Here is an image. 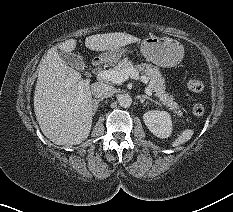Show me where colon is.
I'll return each mask as SVG.
<instances>
[{
  "label": "colon",
  "mask_w": 233,
  "mask_h": 212,
  "mask_svg": "<svg viewBox=\"0 0 233 212\" xmlns=\"http://www.w3.org/2000/svg\"><path fill=\"white\" fill-rule=\"evenodd\" d=\"M188 88L196 93L202 92L204 90V84L197 79H189L187 81ZM192 112L195 116H201L205 112V108L202 103H195L192 108Z\"/></svg>",
  "instance_id": "obj_1"
}]
</instances>
